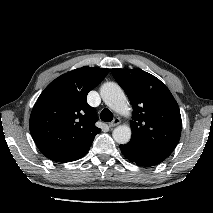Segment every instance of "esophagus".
I'll return each mask as SVG.
<instances>
[{"mask_svg":"<svg viewBox=\"0 0 213 213\" xmlns=\"http://www.w3.org/2000/svg\"><path fill=\"white\" fill-rule=\"evenodd\" d=\"M120 123V119L119 118H115L111 123H109V127H115Z\"/></svg>","mask_w":213,"mask_h":213,"instance_id":"esophagus-1","label":"esophagus"}]
</instances>
